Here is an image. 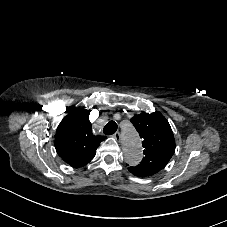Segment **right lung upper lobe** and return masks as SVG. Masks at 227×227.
I'll use <instances>...</instances> for the list:
<instances>
[{"label":"right lung upper lobe","instance_id":"cb5924a9","mask_svg":"<svg viewBox=\"0 0 227 227\" xmlns=\"http://www.w3.org/2000/svg\"><path fill=\"white\" fill-rule=\"evenodd\" d=\"M105 136H95L89 121V111L76 109L65 116L56 131L55 148L58 155L72 167H82L96 154Z\"/></svg>","mask_w":227,"mask_h":227}]
</instances>
